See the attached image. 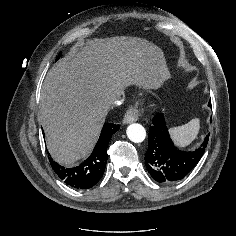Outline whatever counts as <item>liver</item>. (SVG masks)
<instances>
[{
  "label": "liver",
  "mask_w": 236,
  "mask_h": 236,
  "mask_svg": "<svg viewBox=\"0 0 236 236\" xmlns=\"http://www.w3.org/2000/svg\"><path fill=\"white\" fill-rule=\"evenodd\" d=\"M168 74L162 50L145 39L95 38L73 49L50 69L41 90L40 118L53 159L70 166L87 157L124 88L155 89Z\"/></svg>",
  "instance_id": "obj_1"
}]
</instances>
